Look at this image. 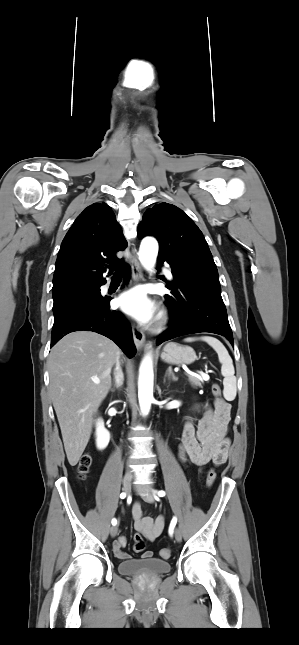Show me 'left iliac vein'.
<instances>
[{"mask_svg": "<svg viewBox=\"0 0 299 645\" xmlns=\"http://www.w3.org/2000/svg\"><path fill=\"white\" fill-rule=\"evenodd\" d=\"M142 498L148 503H153L155 500L154 495L148 491L142 493ZM175 538L177 542H180L182 539L181 532L178 528L175 529Z\"/></svg>", "mask_w": 299, "mask_h": 645, "instance_id": "left-iliac-vein-1", "label": "left iliac vein"}]
</instances>
